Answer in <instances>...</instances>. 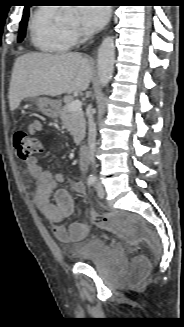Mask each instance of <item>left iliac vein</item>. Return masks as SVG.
Masks as SVG:
<instances>
[{
    "mask_svg": "<svg viewBox=\"0 0 184 327\" xmlns=\"http://www.w3.org/2000/svg\"><path fill=\"white\" fill-rule=\"evenodd\" d=\"M97 193L100 198L104 197V189L101 184H97Z\"/></svg>",
    "mask_w": 184,
    "mask_h": 327,
    "instance_id": "1",
    "label": "left iliac vein"
}]
</instances>
